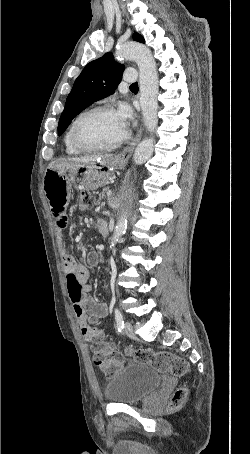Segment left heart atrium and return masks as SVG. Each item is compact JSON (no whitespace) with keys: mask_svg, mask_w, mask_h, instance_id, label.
<instances>
[{"mask_svg":"<svg viewBox=\"0 0 250 454\" xmlns=\"http://www.w3.org/2000/svg\"><path fill=\"white\" fill-rule=\"evenodd\" d=\"M121 124L126 127L132 116L131 109L126 104H120L118 109L115 111Z\"/></svg>","mask_w":250,"mask_h":454,"instance_id":"obj_1","label":"left heart atrium"}]
</instances>
